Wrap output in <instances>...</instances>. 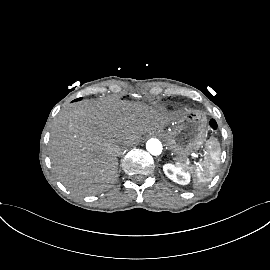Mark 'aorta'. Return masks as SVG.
Masks as SVG:
<instances>
[{
  "instance_id": "1",
  "label": "aorta",
  "mask_w": 270,
  "mask_h": 270,
  "mask_svg": "<svg viewBox=\"0 0 270 270\" xmlns=\"http://www.w3.org/2000/svg\"><path fill=\"white\" fill-rule=\"evenodd\" d=\"M146 149L152 155H160L163 149L162 143L158 139L151 138L146 143Z\"/></svg>"
}]
</instances>
